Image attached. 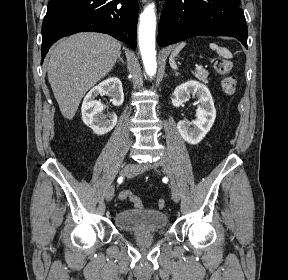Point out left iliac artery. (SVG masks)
<instances>
[{
    "label": "left iliac artery",
    "instance_id": "obj_1",
    "mask_svg": "<svg viewBox=\"0 0 288 280\" xmlns=\"http://www.w3.org/2000/svg\"><path fill=\"white\" fill-rule=\"evenodd\" d=\"M168 186H169V187H174V186H175V183L173 182L172 179H169V180H168Z\"/></svg>",
    "mask_w": 288,
    "mask_h": 280
}]
</instances>
